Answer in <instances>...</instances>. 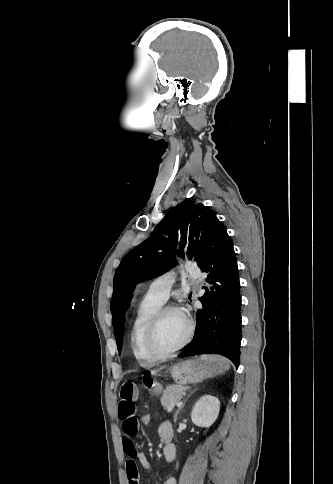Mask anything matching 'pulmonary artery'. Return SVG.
Masks as SVG:
<instances>
[{"mask_svg":"<svg viewBox=\"0 0 333 484\" xmlns=\"http://www.w3.org/2000/svg\"><path fill=\"white\" fill-rule=\"evenodd\" d=\"M187 273L194 278L199 276V271L192 265H187ZM174 281L173 273H166L158 277L149 285L146 296L163 304L168 299Z\"/></svg>","mask_w":333,"mask_h":484,"instance_id":"1","label":"pulmonary artery"}]
</instances>
